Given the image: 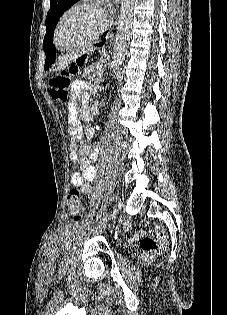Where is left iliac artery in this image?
<instances>
[{"label": "left iliac artery", "instance_id": "left-iliac-artery-1", "mask_svg": "<svg viewBox=\"0 0 227 315\" xmlns=\"http://www.w3.org/2000/svg\"><path fill=\"white\" fill-rule=\"evenodd\" d=\"M113 198H114V197H111V198H110V201H109V203H110V202H111V201L113 200Z\"/></svg>", "mask_w": 227, "mask_h": 315}]
</instances>
